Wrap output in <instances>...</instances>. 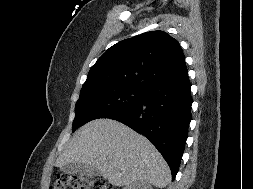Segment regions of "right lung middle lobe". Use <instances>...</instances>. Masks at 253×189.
<instances>
[{
	"mask_svg": "<svg viewBox=\"0 0 253 189\" xmlns=\"http://www.w3.org/2000/svg\"><path fill=\"white\" fill-rule=\"evenodd\" d=\"M145 93L144 90L124 86H109L80 93L72 132L91 120L107 118L136 104Z\"/></svg>",
	"mask_w": 253,
	"mask_h": 189,
	"instance_id": "dd1d6c3e",
	"label": "right lung middle lobe"
}]
</instances>
